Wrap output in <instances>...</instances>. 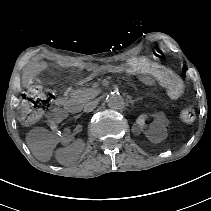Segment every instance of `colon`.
Wrapping results in <instances>:
<instances>
[{
    "label": "colon",
    "mask_w": 211,
    "mask_h": 211,
    "mask_svg": "<svg viewBox=\"0 0 211 211\" xmlns=\"http://www.w3.org/2000/svg\"><path fill=\"white\" fill-rule=\"evenodd\" d=\"M126 70L135 75H146L157 78L161 84L167 87L172 96H180L183 87L179 79L166 67L143 57L129 59L125 63ZM54 93L37 81L26 91L21 101L20 120L23 125L29 126L38 122L49 110ZM180 117L186 124H191L195 120L193 109L182 110Z\"/></svg>",
    "instance_id": "5ec220e1"
}]
</instances>
